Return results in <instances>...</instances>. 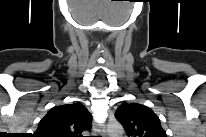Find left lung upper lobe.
I'll return each mask as SVG.
<instances>
[{
  "label": "left lung upper lobe",
  "mask_w": 206,
  "mask_h": 137,
  "mask_svg": "<svg viewBox=\"0 0 206 137\" xmlns=\"http://www.w3.org/2000/svg\"><path fill=\"white\" fill-rule=\"evenodd\" d=\"M115 117L129 137H166L158 116L138 103H124L116 110Z\"/></svg>",
  "instance_id": "left-lung-upper-lobe-1"
}]
</instances>
